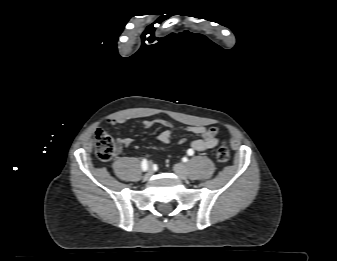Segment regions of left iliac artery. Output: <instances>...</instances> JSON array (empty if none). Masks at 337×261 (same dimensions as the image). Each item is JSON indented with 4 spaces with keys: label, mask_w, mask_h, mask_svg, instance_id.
<instances>
[{
    "label": "left iliac artery",
    "mask_w": 337,
    "mask_h": 261,
    "mask_svg": "<svg viewBox=\"0 0 337 261\" xmlns=\"http://www.w3.org/2000/svg\"><path fill=\"white\" fill-rule=\"evenodd\" d=\"M187 154H188L189 156H192V155L194 154V151H193L192 149H189V150L187 151Z\"/></svg>",
    "instance_id": "left-iliac-artery-1"
}]
</instances>
